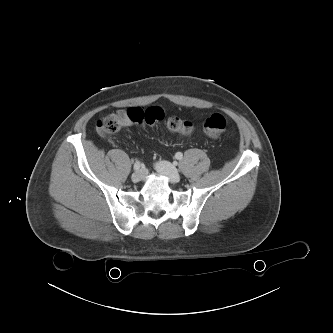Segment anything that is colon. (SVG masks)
Returning <instances> with one entry per match:
<instances>
[{"mask_svg": "<svg viewBox=\"0 0 333 333\" xmlns=\"http://www.w3.org/2000/svg\"><path fill=\"white\" fill-rule=\"evenodd\" d=\"M128 119L129 116L124 110L117 111L99 120L96 124V129L101 134H112L117 132L122 125H125ZM165 125L169 131L180 133L182 135H190L193 131V125L191 122L183 121L178 117L169 118L165 122ZM226 128L227 120L221 114L211 115L203 124L204 132L210 138L219 137L222 133H224Z\"/></svg>", "mask_w": 333, "mask_h": 333, "instance_id": "5ec220e1", "label": "colon"}]
</instances>
